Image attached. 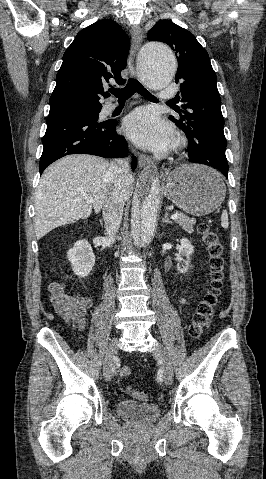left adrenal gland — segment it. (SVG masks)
<instances>
[{
  "mask_svg": "<svg viewBox=\"0 0 266 479\" xmlns=\"http://www.w3.org/2000/svg\"><path fill=\"white\" fill-rule=\"evenodd\" d=\"M162 223H166V224H172L173 223L171 220H169L167 212H165V216L162 219Z\"/></svg>",
  "mask_w": 266,
  "mask_h": 479,
  "instance_id": "1",
  "label": "left adrenal gland"
}]
</instances>
